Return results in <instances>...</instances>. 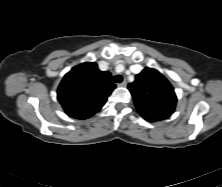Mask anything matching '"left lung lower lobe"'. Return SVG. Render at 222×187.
Here are the masks:
<instances>
[{
  "label": "left lung lower lobe",
  "mask_w": 222,
  "mask_h": 187,
  "mask_svg": "<svg viewBox=\"0 0 222 187\" xmlns=\"http://www.w3.org/2000/svg\"><path fill=\"white\" fill-rule=\"evenodd\" d=\"M140 115L147 121L149 122H155V121H160L164 120L168 117L163 116V115H156V114H147V113H140Z\"/></svg>",
  "instance_id": "obj_1"
}]
</instances>
